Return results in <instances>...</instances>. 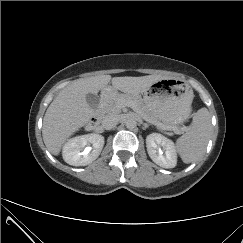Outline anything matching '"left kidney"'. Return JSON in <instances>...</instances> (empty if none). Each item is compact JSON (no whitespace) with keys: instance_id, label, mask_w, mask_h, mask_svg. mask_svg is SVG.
<instances>
[{"instance_id":"5707ae66","label":"left kidney","mask_w":243,"mask_h":243,"mask_svg":"<svg viewBox=\"0 0 243 243\" xmlns=\"http://www.w3.org/2000/svg\"><path fill=\"white\" fill-rule=\"evenodd\" d=\"M147 152L153 162L163 168H174L177 164V154L174 143L159 133L146 137ZM161 147L164 154L161 153Z\"/></svg>"}]
</instances>
